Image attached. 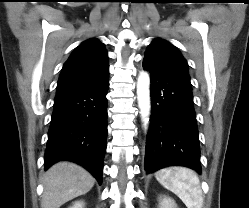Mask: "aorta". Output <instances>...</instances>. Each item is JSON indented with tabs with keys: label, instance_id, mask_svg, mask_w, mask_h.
<instances>
[{
	"label": "aorta",
	"instance_id": "762f6f07",
	"mask_svg": "<svg viewBox=\"0 0 249 208\" xmlns=\"http://www.w3.org/2000/svg\"><path fill=\"white\" fill-rule=\"evenodd\" d=\"M150 78L147 72H141L137 81V100L144 125L148 124L150 114Z\"/></svg>",
	"mask_w": 249,
	"mask_h": 208
}]
</instances>
